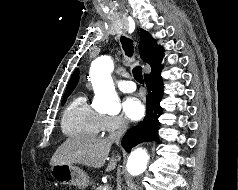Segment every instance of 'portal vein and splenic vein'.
<instances>
[{
  "label": "portal vein and splenic vein",
  "instance_id": "1",
  "mask_svg": "<svg viewBox=\"0 0 238 190\" xmlns=\"http://www.w3.org/2000/svg\"><path fill=\"white\" fill-rule=\"evenodd\" d=\"M106 189L109 187L108 185H105Z\"/></svg>",
  "mask_w": 238,
  "mask_h": 190
}]
</instances>
